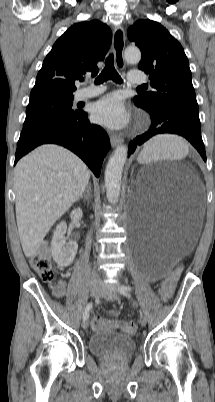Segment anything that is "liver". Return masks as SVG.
<instances>
[{"label":"liver","mask_w":215,"mask_h":402,"mask_svg":"<svg viewBox=\"0 0 215 402\" xmlns=\"http://www.w3.org/2000/svg\"><path fill=\"white\" fill-rule=\"evenodd\" d=\"M89 179L85 163L58 145H41L18 161L15 209L26 257L36 255L50 228L80 198Z\"/></svg>","instance_id":"6515ba94"}]
</instances>
